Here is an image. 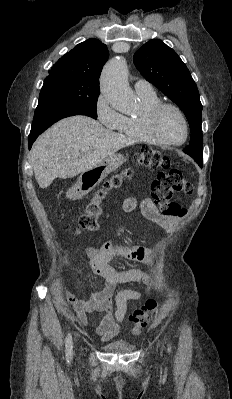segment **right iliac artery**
I'll use <instances>...</instances> for the list:
<instances>
[{
  "mask_svg": "<svg viewBox=\"0 0 232 399\" xmlns=\"http://www.w3.org/2000/svg\"><path fill=\"white\" fill-rule=\"evenodd\" d=\"M65 348H66V360L68 363H70L71 359H72V336L69 333L67 338H66V344H65Z\"/></svg>",
  "mask_w": 232,
  "mask_h": 399,
  "instance_id": "obj_1",
  "label": "right iliac artery"
}]
</instances>
